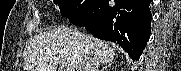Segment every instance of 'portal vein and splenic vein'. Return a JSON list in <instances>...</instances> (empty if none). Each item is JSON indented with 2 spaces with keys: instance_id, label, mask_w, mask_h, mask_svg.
<instances>
[{
  "instance_id": "portal-vein-and-splenic-vein-1",
  "label": "portal vein and splenic vein",
  "mask_w": 181,
  "mask_h": 71,
  "mask_svg": "<svg viewBox=\"0 0 181 71\" xmlns=\"http://www.w3.org/2000/svg\"><path fill=\"white\" fill-rule=\"evenodd\" d=\"M65 71H75V69L72 68V67H68V68L65 69Z\"/></svg>"
}]
</instances>
